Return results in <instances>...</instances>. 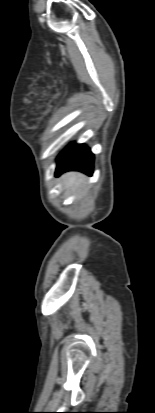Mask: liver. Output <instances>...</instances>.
<instances>
[{"label":"liver","mask_w":155,"mask_h":413,"mask_svg":"<svg viewBox=\"0 0 155 413\" xmlns=\"http://www.w3.org/2000/svg\"><path fill=\"white\" fill-rule=\"evenodd\" d=\"M65 189H71L72 191L81 188L85 182L83 176L77 173H67L63 176Z\"/></svg>","instance_id":"6515ba94"}]
</instances>
